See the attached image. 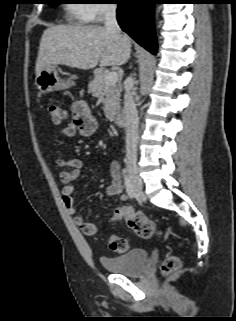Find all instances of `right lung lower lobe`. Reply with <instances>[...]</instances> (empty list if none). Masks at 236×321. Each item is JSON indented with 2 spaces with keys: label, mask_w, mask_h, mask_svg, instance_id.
<instances>
[{
  "label": "right lung lower lobe",
  "mask_w": 236,
  "mask_h": 321,
  "mask_svg": "<svg viewBox=\"0 0 236 321\" xmlns=\"http://www.w3.org/2000/svg\"><path fill=\"white\" fill-rule=\"evenodd\" d=\"M113 3L119 4L117 19L122 30L145 49L156 54L153 17L157 0H114Z\"/></svg>",
  "instance_id": "1"
}]
</instances>
